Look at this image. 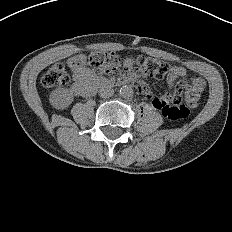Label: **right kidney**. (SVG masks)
I'll list each match as a JSON object with an SVG mask.
<instances>
[{
    "label": "right kidney",
    "mask_w": 232,
    "mask_h": 232,
    "mask_svg": "<svg viewBox=\"0 0 232 232\" xmlns=\"http://www.w3.org/2000/svg\"><path fill=\"white\" fill-rule=\"evenodd\" d=\"M74 100L73 93L67 88H57L51 92L49 101L55 109H66Z\"/></svg>",
    "instance_id": "right-kidney-1"
}]
</instances>
